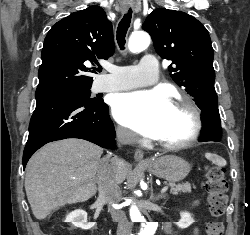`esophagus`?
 <instances>
[{"instance_id": "34e87169", "label": "esophagus", "mask_w": 250, "mask_h": 235, "mask_svg": "<svg viewBox=\"0 0 250 235\" xmlns=\"http://www.w3.org/2000/svg\"><path fill=\"white\" fill-rule=\"evenodd\" d=\"M134 159L137 162H141V163H148L149 160L144 158V153L141 149H136L134 152Z\"/></svg>"}]
</instances>
